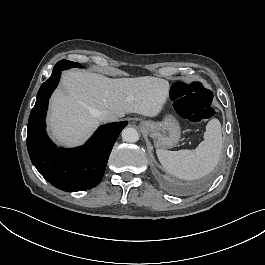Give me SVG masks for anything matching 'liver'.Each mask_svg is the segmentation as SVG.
Here are the masks:
<instances>
[{
	"label": "liver",
	"mask_w": 265,
	"mask_h": 265,
	"mask_svg": "<svg viewBox=\"0 0 265 265\" xmlns=\"http://www.w3.org/2000/svg\"><path fill=\"white\" fill-rule=\"evenodd\" d=\"M52 98L50 122L54 136L68 143H80L107 111L116 117L136 112L156 117L169 98L167 81L153 77L112 80L101 75L68 71Z\"/></svg>",
	"instance_id": "6515ba94"
}]
</instances>
